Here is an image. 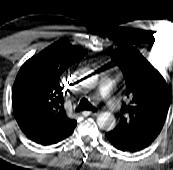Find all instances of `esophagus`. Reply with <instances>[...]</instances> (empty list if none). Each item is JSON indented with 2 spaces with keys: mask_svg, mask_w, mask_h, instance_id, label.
I'll return each mask as SVG.
<instances>
[{
  "mask_svg": "<svg viewBox=\"0 0 173 170\" xmlns=\"http://www.w3.org/2000/svg\"><path fill=\"white\" fill-rule=\"evenodd\" d=\"M83 114L89 116V115H92V116H97L99 114L98 111L96 112H93V111H85Z\"/></svg>",
  "mask_w": 173,
  "mask_h": 170,
  "instance_id": "esophagus-1",
  "label": "esophagus"
}]
</instances>
